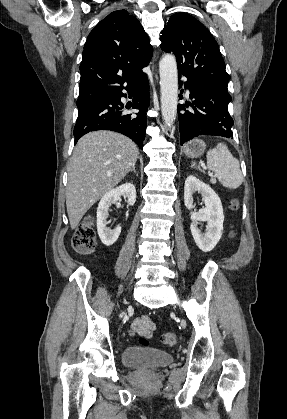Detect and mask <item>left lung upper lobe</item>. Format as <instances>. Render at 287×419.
Returning a JSON list of instances; mask_svg holds the SVG:
<instances>
[{
  "label": "left lung upper lobe",
  "mask_w": 287,
  "mask_h": 419,
  "mask_svg": "<svg viewBox=\"0 0 287 419\" xmlns=\"http://www.w3.org/2000/svg\"><path fill=\"white\" fill-rule=\"evenodd\" d=\"M161 33V49L176 56L179 76L227 89L230 76L218 44L201 22L186 13H177Z\"/></svg>",
  "instance_id": "1"
}]
</instances>
